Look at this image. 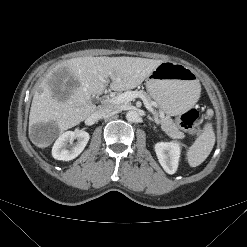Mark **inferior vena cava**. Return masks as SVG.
Masks as SVG:
<instances>
[{"mask_svg": "<svg viewBox=\"0 0 247 247\" xmlns=\"http://www.w3.org/2000/svg\"><path fill=\"white\" fill-rule=\"evenodd\" d=\"M115 111V108L110 105H101L98 106L95 112L92 114V117L95 119H101Z\"/></svg>", "mask_w": 247, "mask_h": 247, "instance_id": "inferior-vena-cava-1", "label": "inferior vena cava"}]
</instances>
